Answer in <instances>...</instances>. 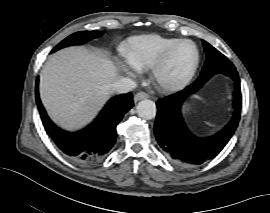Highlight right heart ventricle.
<instances>
[{"label": "right heart ventricle", "instance_id": "obj_1", "mask_svg": "<svg viewBox=\"0 0 270 213\" xmlns=\"http://www.w3.org/2000/svg\"><path fill=\"white\" fill-rule=\"evenodd\" d=\"M177 40L155 34L134 37L129 41L123 56L130 67L136 70L148 69L163 51Z\"/></svg>", "mask_w": 270, "mask_h": 213}]
</instances>
